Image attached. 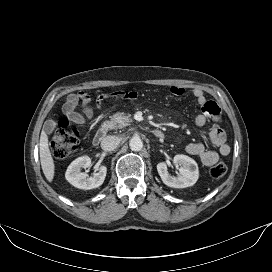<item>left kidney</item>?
Here are the masks:
<instances>
[{"instance_id": "left-kidney-1", "label": "left kidney", "mask_w": 272, "mask_h": 272, "mask_svg": "<svg viewBox=\"0 0 272 272\" xmlns=\"http://www.w3.org/2000/svg\"><path fill=\"white\" fill-rule=\"evenodd\" d=\"M173 163L176 166L180 165L177 177L169 174L165 162L157 164V171L165 185L172 188H186L197 182L199 177L198 165L192 158L183 154L175 155Z\"/></svg>"}]
</instances>
